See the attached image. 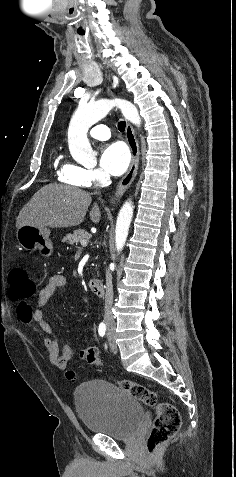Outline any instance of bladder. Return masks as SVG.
<instances>
[{"instance_id":"1","label":"bladder","mask_w":236,"mask_h":477,"mask_svg":"<svg viewBox=\"0 0 236 477\" xmlns=\"http://www.w3.org/2000/svg\"><path fill=\"white\" fill-rule=\"evenodd\" d=\"M74 400L83 425L91 433L127 440L138 433L144 420L141 402L110 382L83 383Z\"/></svg>"}]
</instances>
